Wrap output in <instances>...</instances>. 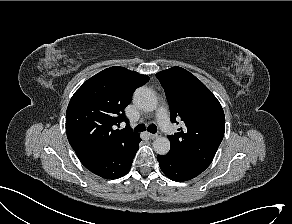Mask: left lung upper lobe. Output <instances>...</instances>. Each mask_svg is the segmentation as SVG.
Returning a JSON list of instances; mask_svg holds the SVG:
<instances>
[{"instance_id": "left-lung-upper-lobe-1", "label": "left lung upper lobe", "mask_w": 292, "mask_h": 224, "mask_svg": "<svg viewBox=\"0 0 292 224\" xmlns=\"http://www.w3.org/2000/svg\"><path fill=\"white\" fill-rule=\"evenodd\" d=\"M164 88L171 121L184 127L168 136L169 154L204 171L212 162L225 132V115L213 93L193 74L172 67L156 74ZM178 124V122H177Z\"/></svg>"}]
</instances>
